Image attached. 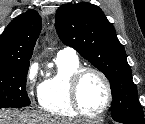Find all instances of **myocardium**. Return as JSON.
<instances>
[{
	"mask_svg": "<svg viewBox=\"0 0 145 124\" xmlns=\"http://www.w3.org/2000/svg\"><path fill=\"white\" fill-rule=\"evenodd\" d=\"M90 73L97 75L101 79L107 92L106 103L104 107L97 113H87L82 108L80 102L81 83L85 76ZM69 93L70 100L75 111L78 113V115L88 119H97L102 117L108 111L113 102V91L110 80L101 70L94 67H81L72 74L69 83Z\"/></svg>",
	"mask_w": 145,
	"mask_h": 124,
	"instance_id": "1",
	"label": "myocardium"
}]
</instances>
